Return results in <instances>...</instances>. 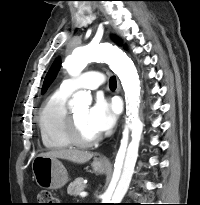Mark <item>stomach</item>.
<instances>
[{"label": "stomach", "mask_w": 200, "mask_h": 205, "mask_svg": "<svg viewBox=\"0 0 200 205\" xmlns=\"http://www.w3.org/2000/svg\"><path fill=\"white\" fill-rule=\"evenodd\" d=\"M91 165L98 173H104L108 169V166L98 159ZM32 172L36 183L44 189H58L68 181L67 171L57 158L37 155L32 161Z\"/></svg>", "instance_id": "1"}]
</instances>
